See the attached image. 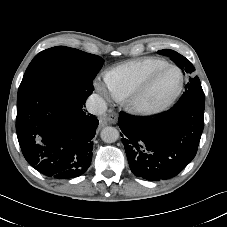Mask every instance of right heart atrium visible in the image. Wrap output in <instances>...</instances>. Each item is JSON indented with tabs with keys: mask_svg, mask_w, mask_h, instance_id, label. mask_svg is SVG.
Masks as SVG:
<instances>
[{
	"mask_svg": "<svg viewBox=\"0 0 227 227\" xmlns=\"http://www.w3.org/2000/svg\"><path fill=\"white\" fill-rule=\"evenodd\" d=\"M98 89L101 93H103L106 96H113L112 93L108 90V88H104L103 86H98Z\"/></svg>",
	"mask_w": 227,
	"mask_h": 227,
	"instance_id": "obj_1",
	"label": "right heart atrium"
}]
</instances>
